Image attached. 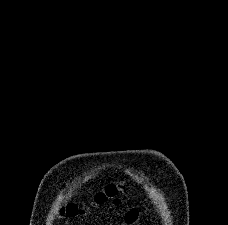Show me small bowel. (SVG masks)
<instances>
[{
  "mask_svg": "<svg viewBox=\"0 0 228 225\" xmlns=\"http://www.w3.org/2000/svg\"><path fill=\"white\" fill-rule=\"evenodd\" d=\"M137 216V212L135 210L130 211L127 215H126V224L128 225H136V223L134 222V219Z\"/></svg>",
  "mask_w": 228,
  "mask_h": 225,
  "instance_id": "small-bowel-1",
  "label": "small bowel"
}]
</instances>
